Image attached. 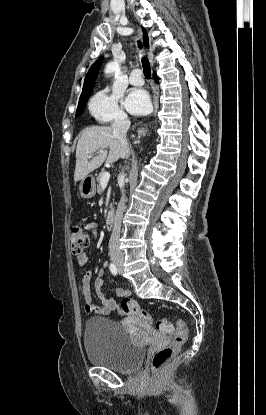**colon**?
Returning <instances> with one entry per match:
<instances>
[{
	"mask_svg": "<svg viewBox=\"0 0 266 415\" xmlns=\"http://www.w3.org/2000/svg\"><path fill=\"white\" fill-rule=\"evenodd\" d=\"M70 247L73 254L79 255L89 244V235L86 229L80 226H74L69 234ZM118 311L121 315L134 316L152 323L153 318L151 314L141 308L139 304L128 297L124 298L118 305ZM158 331L164 334L172 335V342L157 350L151 359V369L154 373H159L164 370L171 360L175 357L180 347L186 342L188 337V330L183 320L171 321L168 318H162L156 322Z\"/></svg>",
	"mask_w": 266,
	"mask_h": 415,
	"instance_id": "colon-1",
	"label": "colon"
}]
</instances>
